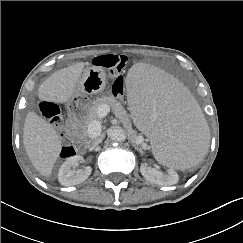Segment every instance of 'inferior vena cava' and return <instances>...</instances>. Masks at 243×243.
I'll use <instances>...</instances> for the list:
<instances>
[{
  "label": "inferior vena cava",
  "mask_w": 243,
  "mask_h": 243,
  "mask_svg": "<svg viewBox=\"0 0 243 243\" xmlns=\"http://www.w3.org/2000/svg\"><path fill=\"white\" fill-rule=\"evenodd\" d=\"M100 142H101V139H100V138H96V139L93 140L91 146L94 148V147H96Z\"/></svg>",
  "instance_id": "obj_1"
}]
</instances>
